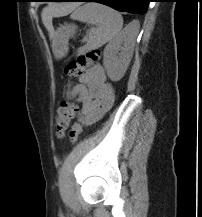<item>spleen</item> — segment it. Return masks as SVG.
Wrapping results in <instances>:
<instances>
[{
	"mask_svg": "<svg viewBox=\"0 0 202 217\" xmlns=\"http://www.w3.org/2000/svg\"><path fill=\"white\" fill-rule=\"evenodd\" d=\"M71 19L79 20L90 25H95L88 34L87 49L99 48L116 37L122 27L123 18L121 14L99 3H88L77 8ZM139 24H134V31L137 34Z\"/></svg>",
	"mask_w": 202,
	"mask_h": 217,
	"instance_id": "1",
	"label": "spleen"
}]
</instances>
